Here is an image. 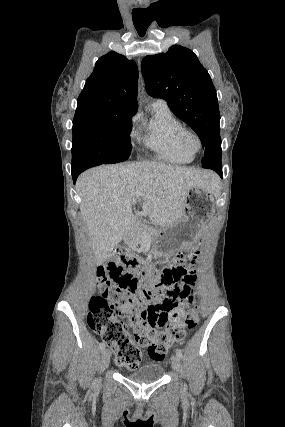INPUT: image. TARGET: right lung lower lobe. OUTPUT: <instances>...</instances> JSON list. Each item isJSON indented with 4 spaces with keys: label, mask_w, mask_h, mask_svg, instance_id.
Masks as SVG:
<instances>
[{
    "label": "right lung lower lobe",
    "mask_w": 285,
    "mask_h": 427,
    "mask_svg": "<svg viewBox=\"0 0 285 427\" xmlns=\"http://www.w3.org/2000/svg\"><path fill=\"white\" fill-rule=\"evenodd\" d=\"M81 172H82V171H72V178H73L74 183H75V181H76V179H77L78 175H79Z\"/></svg>",
    "instance_id": "right-lung-lower-lobe-1"
}]
</instances>
